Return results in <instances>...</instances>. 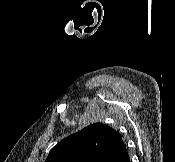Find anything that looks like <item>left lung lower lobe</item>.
Here are the masks:
<instances>
[{
	"label": "left lung lower lobe",
	"instance_id": "left-lung-lower-lobe-1",
	"mask_svg": "<svg viewBox=\"0 0 175 162\" xmlns=\"http://www.w3.org/2000/svg\"><path fill=\"white\" fill-rule=\"evenodd\" d=\"M105 162H130L126 146L123 142L112 151Z\"/></svg>",
	"mask_w": 175,
	"mask_h": 162
}]
</instances>
